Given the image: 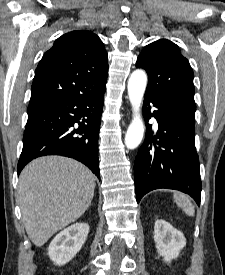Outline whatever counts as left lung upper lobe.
Returning a JSON list of instances; mask_svg holds the SVG:
<instances>
[{
    "label": "left lung upper lobe",
    "mask_w": 225,
    "mask_h": 275,
    "mask_svg": "<svg viewBox=\"0 0 225 275\" xmlns=\"http://www.w3.org/2000/svg\"><path fill=\"white\" fill-rule=\"evenodd\" d=\"M136 67L144 68L148 74L146 91L195 112L193 71L176 44L161 39L147 45Z\"/></svg>",
    "instance_id": "1"
}]
</instances>
